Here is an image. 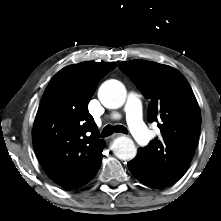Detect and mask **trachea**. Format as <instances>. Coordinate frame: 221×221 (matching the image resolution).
<instances>
[{"mask_svg":"<svg viewBox=\"0 0 221 221\" xmlns=\"http://www.w3.org/2000/svg\"><path fill=\"white\" fill-rule=\"evenodd\" d=\"M114 132L115 133H124V134L128 133L127 129L122 125H116V126L107 125L102 130L101 138L108 137V136L112 135Z\"/></svg>","mask_w":221,"mask_h":221,"instance_id":"1","label":"trachea"}]
</instances>
